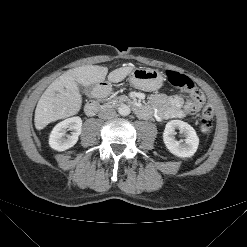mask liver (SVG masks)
<instances>
[{
  "instance_id": "1",
  "label": "liver",
  "mask_w": 247,
  "mask_h": 247,
  "mask_svg": "<svg viewBox=\"0 0 247 247\" xmlns=\"http://www.w3.org/2000/svg\"><path fill=\"white\" fill-rule=\"evenodd\" d=\"M133 70L132 66L117 68L109 73L108 80L113 83L121 82ZM107 73V67L87 65L68 70L54 80L38 101L35 128L41 130L51 122L77 114L82 105L78 84L87 87L103 82Z\"/></svg>"
}]
</instances>
